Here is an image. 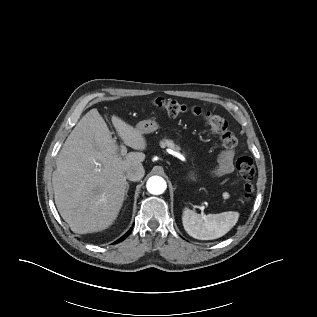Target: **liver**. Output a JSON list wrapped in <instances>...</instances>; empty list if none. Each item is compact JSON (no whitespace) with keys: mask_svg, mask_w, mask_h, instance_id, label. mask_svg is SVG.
Instances as JSON below:
<instances>
[{"mask_svg":"<svg viewBox=\"0 0 317 317\" xmlns=\"http://www.w3.org/2000/svg\"><path fill=\"white\" fill-rule=\"evenodd\" d=\"M111 120L124 144L145 150L146 140L137 128L115 115ZM144 160L142 152L121 158L98 110L87 112L63 144L52 175L57 210L71 230L86 234L111 226L123 205L126 173Z\"/></svg>","mask_w":317,"mask_h":317,"instance_id":"obj_1","label":"liver"}]
</instances>
